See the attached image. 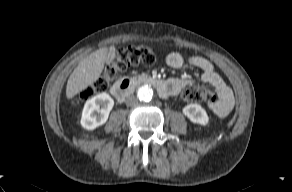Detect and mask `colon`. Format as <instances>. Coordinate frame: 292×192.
I'll list each match as a JSON object with an SVG mask.
<instances>
[{
	"label": "colon",
	"mask_w": 292,
	"mask_h": 192,
	"mask_svg": "<svg viewBox=\"0 0 292 192\" xmlns=\"http://www.w3.org/2000/svg\"><path fill=\"white\" fill-rule=\"evenodd\" d=\"M157 57L155 52L145 46H130L121 49L116 58L105 67L101 76L91 85L81 90L72 100L74 105H79L89 100L95 94L107 90L118 75L132 65H152ZM182 97L188 102H207L214 104L217 100V92L213 86H197L186 89Z\"/></svg>",
	"instance_id": "5ec220e1"
}]
</instances>
